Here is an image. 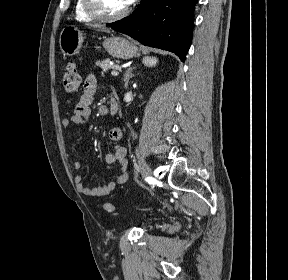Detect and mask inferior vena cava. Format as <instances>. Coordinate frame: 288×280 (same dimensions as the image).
Segmentation results:
<instances>
[{"label": "inferior vena cava", "mask_w": 288, "mask_h": 280, "mask_svg": "<svg viewBox=\"0 0 288 280\" xmlns=\"http://www.w3.org/2000/svg\"><path fill=\"white\" fill-rule=\"evenodd\" d=\"M128 96H129V97H133V96H134V93H133V92H129V93H128ZM133 145H134V147H139L140 144H139V142H134ZM140 158H141V159H144V158H145V155H144V154H141V155H140Z\"/></svg>", "instance_id": "1"}]
</instances>
